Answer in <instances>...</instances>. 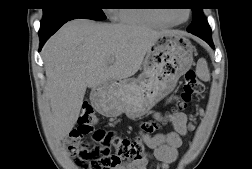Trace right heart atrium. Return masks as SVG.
<instances>
[{
  "mask_svg": "<svg viewBox=\"0 0 252 169\" xmlns=\"http://www.w3.org/2000/svg\"><path fill=\"white\" fill-rule=\"evenodd\" d=\"M110 15H111V16H113V15H114V14H113V11H111Z\"/></svg>",
  "mask_w": 252,
  "mask_h": 169,
  "instance_id": "right-heart-atrium-1",
  "label": "right heart atrium"
}]
</instances>
